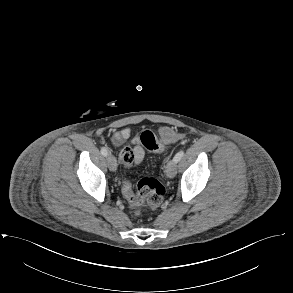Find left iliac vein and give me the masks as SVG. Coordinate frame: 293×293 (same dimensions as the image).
<instances>
[{"instance_id":"1","label":"left iliac vein","mask_w":293,"mask_h":293,"mask_svg":"<svg viewBox=\"0 0 293 293\" xmlns=\"http://www.w3.org/2000/svg\"><path fill=\"white\" fill-rule=\"evenodd\" d=\"M165 173L169 178L175 177L177 173V162L174 160V158L168 161L166 164Z\"/></svg>"}]
</instances>
